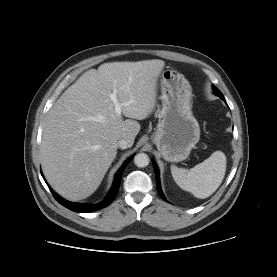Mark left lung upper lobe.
<instances>
[{
  "mask_svg": "<svg viewBox=\"0 0 277 277\" xmlns=\"http://www.w3.org/2000/svg\"><path fill=\"white\" fill-rule=\"evenodd\" d=\"M213 89H214L215 94H216L217 96H219L222 100H224V96H223V94L221 93V91H220L217 87H215V86H213Z\"/></svg>",
  "mask_w": 277,
  "mask_h": 277,
  "instance_id": "left-lung-upper-lobe-1",
  "label": "left lung upper lobe"
}]
</instances>
